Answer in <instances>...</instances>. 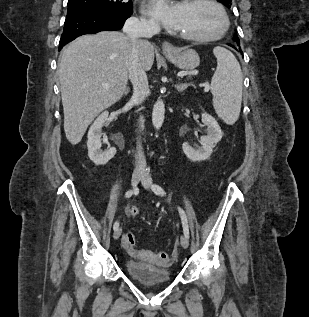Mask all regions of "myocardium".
I'll use <instances>...</instances> for the list:
<instances>
[{
	"label": "myocardium",
	"mask_w": 309,
	"mask_h": 317,
	"mask_svg": "<svg viewBox=\"0 0 309 317\" xmlns=\"http://www.w3.org/2000/svg\"><path fill=\"white\" fill-rule=\"evenodd\" d=\"M191 3H207L212 5L219 13L221 17V26L218 32L209 36H199V35H190L184 33H178V35L188 41L198 42V43H208L220 40L223 38L229 30L230 21L228 14L226 13L224 7L217 0H188Z\"/></svg>",
	"instance_id": "obj_1"
}]
</instances>
